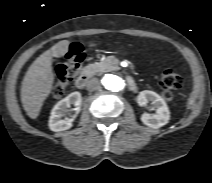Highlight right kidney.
I'll return each instance as SVG.
<instances>
[{
    "mask_svg": "<svg viewBox=\"0 0 212 183\" xmlns=\"http://www.w3.org/2000/svg\"><path fill=\"white\" fill-rule=\"evenodd\" d=\"M82 97L80 92H72L64 99L60 100L52 109L50 119H49V128L54 132L65 131L72 127L74 117H66L68 108L71 105L75 106V111L78 113L81 108ZM64 117V119H62Z\"/></svg>",
    "mask_w": 212,
    "mask_h": 183,
    "instance_id": "obj_1",
    "label": "right kidney"
}]
</instances>
